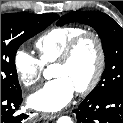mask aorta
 <instances>
[{"label":"aorta","mask_w":123,"mask_h":123,"mask_svg":"<svg viewBox=\"0 0 123 123\" xmlns=\"http://www.w3.org/2000/svg\"><path fill=\"white\" fill-rule=\"evenodd\" d=\"M43 75L46 79H50L52 77V74L50 70L45 69L43 72ZM56 123H73L72 119L68 116H62L60 117Z\"/></svg>","instance_id":"762f6f07"}]
</instances>
